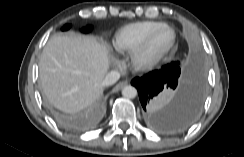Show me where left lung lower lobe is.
I'll use <instances>...</instances> for the list:
<instances>
[{"instance_id":"obj_1","label":"left lung lower lobe","mask_w":244,"mask_h":157,"mask_svg":"<svg viewBox=\"0 0 244 157\" xmlns=\"http://www.w3.org/2000/svg\"><path fill=\"white\" fill-rule=\"evenodd\" d=\"M172 63L131 81L146 112V123L160 132L188 128L197 119L204 99L201 68L190 65L181 72L179 63Z\"/></svg>"}]
</instances>
